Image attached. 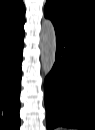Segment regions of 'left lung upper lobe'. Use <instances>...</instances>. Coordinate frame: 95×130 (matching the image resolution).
<instances>
[{
	"mask_svg": "<svg viewBox=\"0 0 95 130\" xmlns=\"http://www.w3.org/2000/svg\"><path fill=\"white\" fill-rule=\"evenodd\" d=\"M44 14L53 22L71 20L95 29L93 0H46Z\"/></svg>",
	"mask_w": 95,
	"mask_h": 130,
	"instance_id": "obj_1",
	"label": "left lung upper lobe"
}]
</instances>
